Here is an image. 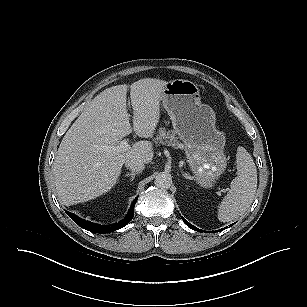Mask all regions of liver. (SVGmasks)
I'll return each mask as SVG.
<instances>
[{
    "label": "liver",
    "instance_id": "6515ba94",
    "mask_svg": "<svg viewBox=\"0 0 307 307\" xmlns=\"http://www.w3.org/2000/svg\"><path fill=\"white\" fill-rule=\"evenodd\" d=\"M168 82L144 78L130 86L117 85L98 94L64 135L55 157L53 173L57 195L66 206L92 200L117 182L129 158L148 164L154 152L149 141H138L126 152H110L125 136L152 137L160 119V101ZM130 88L133 127L126 97Z\"/></svg>",
    "mask_w": 307,
    "mask_h": 307
}]
</instances>
